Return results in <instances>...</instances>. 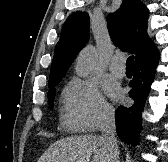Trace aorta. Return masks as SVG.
<instances>
[{
    "mask_svg": "<svg viewBox=\"0 0 168 162\" xmlns=\"http://www.w3.org/2000/svg\"><path fill=\"white\" fill-rule=\"evenodd\" d=\"M97 60L96 48L92 45L86 46L79 54L76 64V73L80 77H87Z\"/></svg>",
    "mask_w": 168,
    "mask_h": 162,
    "instance_id": "aorta-1",
    "label": "aorta"
}]
</instances>
